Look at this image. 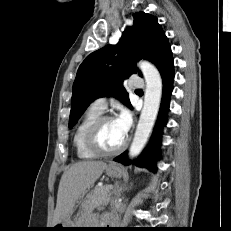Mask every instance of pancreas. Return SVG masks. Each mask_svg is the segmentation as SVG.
<instances>
[{
    "label": "pancreas",
    "mask_w": 231,
    "mask_h": 231,
    "mask_svg": "<svg viewBox=\"0 0 231 231\" xmlns=\"http://www.w3.org/2000/svg\"><path fill=\"white\" fill-rule=\"evenodd\" d=\"M108 186H102L95 188L93 192L89 195V205L93 207L104 206L110 201V190L107 189ZM83 223L84 219L82 218ZM86 223H90V218L87 217Z\"/></svg>",
    "instance_id": "obj_1"
}]
</instances>
